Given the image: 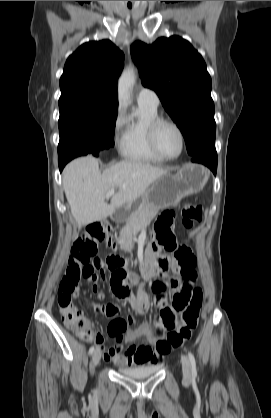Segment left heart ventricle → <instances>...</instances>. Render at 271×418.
<instances>
[{"label":"left heart ventricle","mask_w":271,"mask_h":418,"mask_svg":"<svg viewBox=\"0 0 271 418\" xmlns=\"http://www.w3.org/2000/svg\"><path fill=\"white\" fill-rule=\"evenodd\" d=\"M158 144L164 154L177 155L180 150V138L177 131L169 125L162 126L158 132Z\"/></svg>","instance_id":"1"}]
</instances>
